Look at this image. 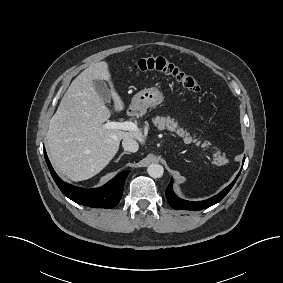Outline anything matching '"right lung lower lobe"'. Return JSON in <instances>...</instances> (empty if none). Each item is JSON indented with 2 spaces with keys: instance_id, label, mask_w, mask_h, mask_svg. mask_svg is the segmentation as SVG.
I'll return each mask as SVG.
<instances>
[{
  "instance_id": "right-lung-lower-lobe-1",
  "label": "right lung lower lobe",
  "mask_w": 283,
  "mask_h": 283,
  "mask_svg": "<svg viewBox=\"0 0 283 283\" xmlns=\"http://www.w3.org/2000/svg\"><path fill=\"white\" fill-rule=\"evenodd\" d=\"M44 156L50 173L59 189L72 201L94 208H113L120 201L126 177L130 171L119 173L115 178L100 188L83 189L63 182L53 170L47 157Z\"/></svg>"
}]
</instances>
